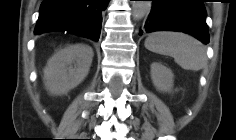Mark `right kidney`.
<instances>
[{
    "instance_id": "right-kidney-1",
    "label": "right kidney",
    "mask_w": 236,
    "mask_h": 140,
    "mask_svg": "<svg viewBox=\"0 0 236 140\" xmlns=\"http://www.w3.org/2000/svg\"><path fill=\"white\" fill-rule=\"evenodd\" d=\"M93 58L91 47L70 45L58 51L44 69V84L53 95L66 94L88 75Z\"/></svg>"
}]
</instances>
